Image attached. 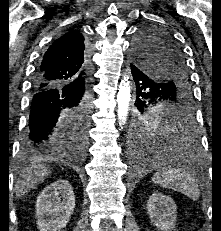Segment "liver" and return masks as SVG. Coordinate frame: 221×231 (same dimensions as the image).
<instances>
[{"label":"liver","instance_id":"obj_1","mask_svg":"<svg viewBox=\"0 0 221 231\" xmlns=\"http://www.w3.org/2000/svg\"><path fill=\"white\" fill-rule=\"evenodd\" d=\"M46 158H40L39 161H45ZM50 170L44 164L34 165L24 171L17 179L14 191L17 197L27 194L37 184L44 181Z\"/></svg>","mask_w":221,"mask_h":231}]
</instances>
